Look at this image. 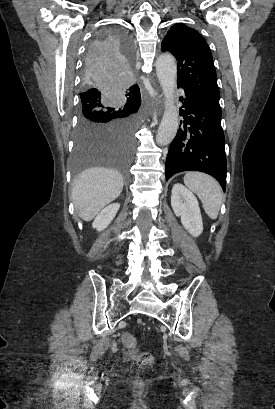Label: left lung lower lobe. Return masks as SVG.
Wrapping results in <instances>:
<instances>
[{"mask_svg":"<svg viewBox=\"0 0 275 409\" xmlns=\"http://www.w3.org/2000/svg\"><path fill=\"white\" fill-rule=\"evenodd\" d=\"M180 98L183 127L172 141L166 159V181L175 173L201 171L215 177L225 191L227 161L219 97L189 86Z\"/></svg>","mask_w":275,"mask_h":409,"instance_id":"0a47b994","label":"left lung lower lobe"}]
</instances>
